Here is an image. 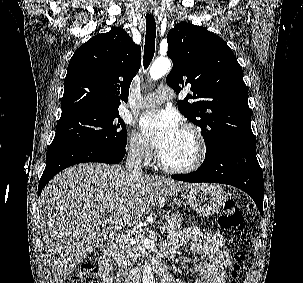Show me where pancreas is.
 I'll use <instances>...</instances> for the list:
<instances>
[{
  "mask_svg": "<svg viewBox=\"0 0 303 283\" xmlns=\"http://www.w3.org/2000/svg\"><path fill=\"white\" fill-rule=\"evenodd\" d=\"M168 220L171 221V223L166 224L167 234H172L180 230L182 218L179 215L171 214L168 216ZM142 237L141 232L136 229L129 230L126 234L122 235L117 242V253L115 255L119 267L126 268L127 265H130L144 254V249L141 244L133 242Z\"/></svg>",
  "mask_w": 303,
  "mask_h": 283,
  "instance_id": "1",
  "label": "pancreas"
}]
</instances>
